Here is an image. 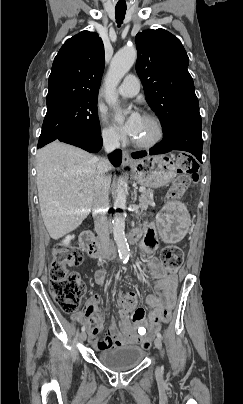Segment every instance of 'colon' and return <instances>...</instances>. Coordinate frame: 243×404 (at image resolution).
<instances>
[{"instance_id":"obj_1","label":"colon","mask_w":243,"mask_h":404,"mask_svg":"<svg viewBox=\"0 0 243 404\" xmlns=\"http://www.w3.org/2000/svg\"><path fill=\"white\" fill-rule=\"evenodd\" d=\"M177 173L168 198L179 199L189 188L192 181L197 180L198 166L195 160L188 154H180L177 158ZM160 260L169 272H176L184 260L183 251L173 245L166 246L160 253ZM84 261L82 251L74 246L58 244L55 246L53 260L49 269V290L58 304L66 313H75L80 300L84 294V285L77 273L69 270L71 267L79 266ZM137 295L135 292H128L119 300V307L123 317L130 316L137 309ZM170 314H165L163 322H168ZM145 348L150 346L149 340H143Z\"/></svg>"}]
</instances>
